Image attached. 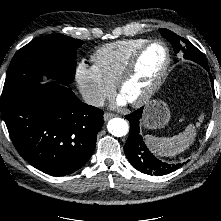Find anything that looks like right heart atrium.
Listing matches in <instances>:
<instances>
[{"instance_id":"d8ad5b80","label":"right heart atrium","mask_w":221,"mask_h":221,"mask_svg":"<svg viewBox=\"0 0 221 221\" xmlns=\"http://www.w3.org/2000/svg\"><path fill=\"white\" fill-rule=\"evenodd\" d=\"M75 81L81 97L91 106L102 104L114 90V85L105 80L94 65L85 62L77 65Z\"/></svg>"}]
</instances>
